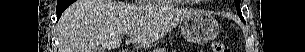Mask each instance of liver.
I'll use <instances>...</instances> for the list:
<instances>
[{
  "label": "liver",
  "mask_w": 305,
  "mask_h": 52,
  "mask_svg": "<svg viewBox=\"0 0 305 52\" xmlns=\"http://www.w3.org/2000/svg\"><path fill=\"white\" fill-rule=\"evenodd\" d=\"M159 1L156 5H132L115 0H77L62 14L58 23V52H101L127 44L149 45L190 16Z\"/></svg>",
  "instance_id": "6515ba94"
}]
</instances>
